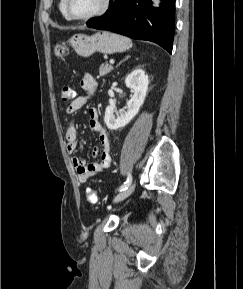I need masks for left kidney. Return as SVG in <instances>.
<instances>
[{
  "instance_id": "5707ae66",
  "label": "left kidney",
  "mask_w": 243,
  "mask_h": 289,
  "mask_svg": "<svg viewBox=\"0 0 243 289\" xmlns=\"http://www.w3.org/2000/svg\"><path fill=\"white\" fill-rule=\"evenodd\" d=\"M125 84L131 89L133 96L119 111L116 110L115 105L106 108L104 122L110 130L124 127L138 114L147 94L148 75L142 69H136L126 77Z\"/></svg>"
}]
</instances>
